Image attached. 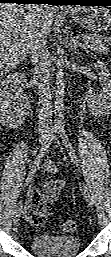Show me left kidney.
<instances>
[{"mask_svg":"<svg viewBox=\"0 0 111 257\" xmlns=\"http://www.w3.org/2000/svg\"><path fill=\"white\" fill-rule=\"evenodd\" d=\"M95 69L100 76L101 86L103 87V93L99 95L91 96L89 99V107L92 108L93 111L102 113L104 108L109 110L111 108V80L109 79V70L106 69L105 64L98 60L95 65Z\"/></svg>","mask_w":111,"mask_h":257,"instance_id":"1","label":"left kidney"}]
</instances>
